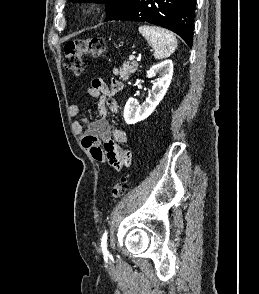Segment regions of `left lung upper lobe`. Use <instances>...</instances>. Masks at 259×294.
Segmentation results:
<instances>
[{
	"label": "left lung upper lobe",
	"instance_id": "5c2ea615",
	"mask_svg": "<svg viewBox=\"0 0 259 294\" xmlns=\"http://www.w3.org/2000/svg\"><path fill=\"white\" fill-rule=\"evenodd\" d=\"M72 3L75 2H97V3H105L106 4V12L107 18L112 17L116 13L120 12L124 8L131 5L136 0H69Z\"/></svg>",
	"mask_w": 259,
	"mask_h": 294
}]
</instances>
